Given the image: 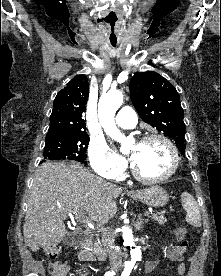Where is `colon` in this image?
Returning <instances> with one entry per match:
<instances>
[{"label": "colon", "instance_id": "5ec220e1", "mask_svg": "<svg viewBox=\"0 0 221 276\" xmlns=\"http://www.w3.org/2000/svg\"><path fill=\"white\" fill-rule=\"evenodd\" d=\"M175 238L179 246L186 248L188 246L187 241V228L185 226H179L175 230ZM45 254L51 259L49 263L48 271L50 276H67L68 265L63 260H56L59 248L57 246H46L43 248Z\"/></svg>", "mask_w": 221, "mask_h": 276}]
</instances>
